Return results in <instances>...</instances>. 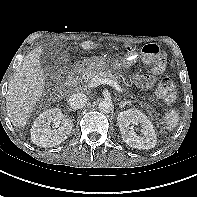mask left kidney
Segmentation results:
<instances>
[{
  "label": "left kidney",
  "instance_id": "left-kidney-1",
  "mask_svg": "<svg viewBox=\"0 0 197 197\" xmlns=\"http://www.w3.org/2000/svg\"><path fill=\"white\" fill-rule=\"evenodd\" d=\"M117 122L124 142L132 148L151 149L157 143L154 127L148 117L137 109H128L118 114ZM140 125L142 136L132 126Z\"/></svg>",
  "mask_w": 197,
  "mask_h": 197
}]
</instances>
